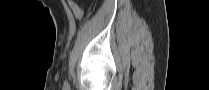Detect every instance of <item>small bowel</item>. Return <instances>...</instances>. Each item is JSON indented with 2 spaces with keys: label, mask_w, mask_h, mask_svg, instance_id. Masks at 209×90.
Wrapping results in <instances>:
<instances>
[{
  "label": "small bowel",
  "mask_w": 209,
  "mask_h": 90,
  "mask_svg": "<svg viewBox=\"0 0 209 90\" xmlns=\"http://www.w3.org/2000/svg\"><path fill=\"white\" fill-rule=\"evenodd\" d=\"M68 5L73 12V14L78 18L81 19L83 17V12L81 8L78 6V4L72 0L68 1Z\"/></svg>",
  "instance_id": "1"
}]
</instances>
